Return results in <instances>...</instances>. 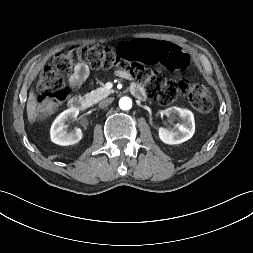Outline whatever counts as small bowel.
<instances>
[{"label":"small bowel","mask_w":253,"mask_h":253,"mask_svg":"<svg viewBox=\"0 0 253 253\" xmlns=\"http://www.w3.org/2000/svg\"><path fill=\"white\" fill-rule=\"evenodd\" d=\"M137 41H141V40H137ZM173 71V70H170ZM116 73L118 76L122 77V78H128L129 77V73L123 69H117ZM89 75V69L87 67L86 64L83 63H78L75 65L74 70L72 75L70 76L69 79V84L73 89H78L82 86V84L86 81L87 77ZM134 88H140L142 91V87H140L139 85H134L132 87V89Z\"/></svg>","instance_id":"obj_1"}]
</instances>
